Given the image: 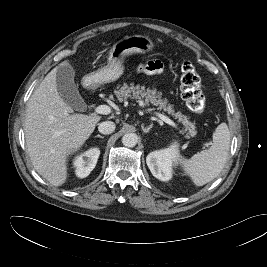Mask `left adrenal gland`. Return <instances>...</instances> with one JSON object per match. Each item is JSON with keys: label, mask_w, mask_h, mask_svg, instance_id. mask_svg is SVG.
Returning <instances> with one entry per match:
<instances>
[{"label": "left adrenal gland", "mask_w": 267, "mask_h": 267, "mask_svg": "<svg viewBox=\"0 0 267 267\" xmlns=\"http://www.w3.org/2000/svg\"><path fill=\"white\" fill-rule=\"evenodd\" d=\"M141 128H142L144 133H148L150 131V129L152 128V124L149 125L148 127H144V125L142 124Z\"/></svg>", "instance_id": "left-adrenal-gland-1"}]
</instances>
